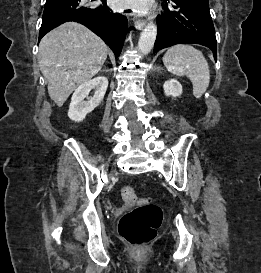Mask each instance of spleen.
Instances as JSON below:
<instances>
[{"label":"spleen","instance_id":"3e777b00","mask_svg":"<svg viewBox=\"0 0 261 273\" xmlns=\"http://www.w3.org/2000/svg\"><path fill=\"white\" fill-rule=\"evenodd\" d=\"M166 69L176 76H187L193 85V95L199 99L210 83V70L203 53L191 45L170 47L163 56Z\"/></svg>","mask_w":261,"mask_h":273}]
</instances>
